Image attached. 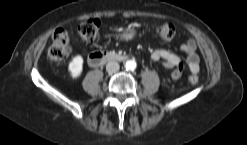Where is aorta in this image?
Returning <instances> with one entry per match:
<instances>
[{"mask_svg":"<svg viewBox=\"0 0 247 145\" xmlns=\"http://www.w3.org/2000/svg\"><path fill=\"white\" fill-rule=\"evenodd\" d=\"M137 67V63L135 60H128L125 63L126 70H134Z\"/></svg>","mask_w":247,"mask_h":145,"instance_id":"obj_1","label":"aorta"}]
</instances>
